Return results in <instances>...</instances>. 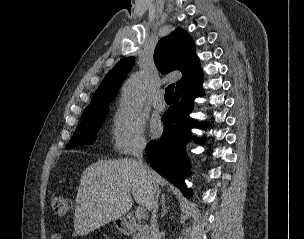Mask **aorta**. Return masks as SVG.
I'll return each mask as SVG.
<instances>
[{
    "instance_id": "aorta-1",
    "label": "aorta",
    "mask_w": 304,
    "mask_h": 239,
    "mask_svg": "<svg viewBox=\"0 0 304 239\" xmlns=\"http://www.w3.org/2000/svg\"><path fill=\"white\" fill-rule=\"evenodd\" d=\"M145 100V81L141 75L131 77L123 86L122 103L133 109L143 107Z\"/></svg>"
}]
</instances>
